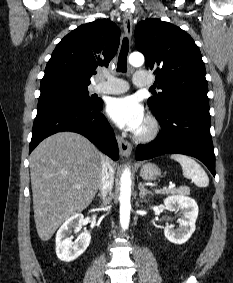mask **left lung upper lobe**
<instances>
[{
	"label": "left lung upper lobe",
	"mask_w": 233,
	"mask_h": 283,
	"mask_svg": "<svg viewBox=\"0 0 233 283\" xmlns=\"http://www.w3.org/2000/svg\"><path fill=\"white\" fill-rule=\"evenodd\" d=\"M136 48L145 56L162 92L150 97L155 113L164 112L179 101L208 102L206 70L198 46L189 34L160 19L141 21L135 29Z\"/></svg>",
	"instance_id": "5c2ea615"
}]
</instances>
